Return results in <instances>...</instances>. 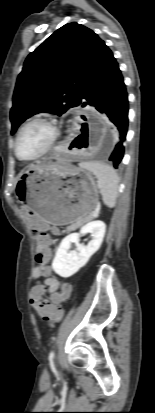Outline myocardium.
I'll list each match as a JSON object with an SVG mask.
<instances>
[{
  "mask_svg": "<svg viewBox=\"0 0 155 413\" xmlns=\"http://www.w3.org/2000/svg\"><path fill=\"white\" fill-rule=\"evenodd\" d=\"M35 122H45V123H47L48 125H50L51 128H52V130H53V135H52V138H51L49 144L47 145V147H46L42 152H40V153H39L38 155H36V156L30 157V158H25V157L21 156L20 153H19V140H20L21 134H22V132L24 131V129H25L26 127H28L29 125L35 123ZM59 134H60L59 128H58L57 122H56L54 119H52V118H50V117H48V116H36V117H33V118L29 119L27 122H25V123L20 127V129H19V131H18V133H17L16 139H15L14 153H15L16 157H17L20 161H23V162H30V161L37 160V159L43 157L44 155H46V154L54 147V145H55V143H56V141H57V139H58V137H59Z\"/></svg>",
  "mask_w": 155,
  "mask_h": 413,
  "instance_id": "1",
  "label": "myocardium"
}]
</instances>
